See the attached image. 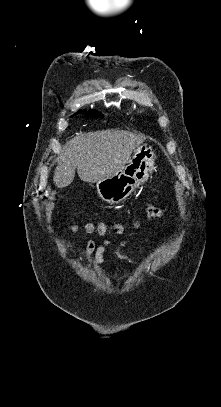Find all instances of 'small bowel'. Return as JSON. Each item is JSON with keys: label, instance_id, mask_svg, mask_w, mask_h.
I'll return each instance as SVG.
<instances>
[{"label": "small bowel", "instance_id": "c3829d8e", "mask_svg": "<svg viewBox=\"0 0 221 407\" xmlns=\"http://www.w3.org/2000/svg\"><path fill=\"white\" fill-rule=\"evenodd\" d=\"M110 239H105L100 245H96L93 241H88L85 247V254L87 257L93 256L99 263H104V253L106 247L110 244ZM128 244V241H122L114 250L115 256L123 258L132 263L129 257H125L121 254V250ZM78 254V251L75 252Z\"/></svg>", "mask_w": 221, "mask_h": 407}]
</instances>
